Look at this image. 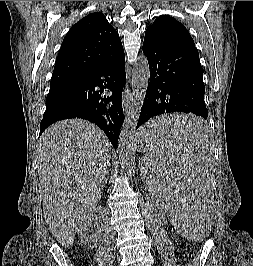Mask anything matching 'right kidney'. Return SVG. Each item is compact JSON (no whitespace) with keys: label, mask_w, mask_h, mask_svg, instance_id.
Wrapping results in <instances>:
<instances>
[{"label":"right kidney","mask_w":253,"mask_h":266,"mask_svg":"<svg viewBox=\"0 0 253 266\" xmlns=\"http://www.w3.org/2000/svg\"><path fill=\"white\" fill-rule=\"evenodd\" d=\"M95 215L88 217L83 221L78 228V235L81 241V244L88 247H96L101 240V230H93L92 222Z\"/></svg>","instance_id":"right-kidney-1"}]
</instances>
